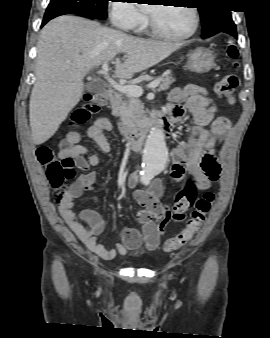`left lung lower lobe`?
Here are the masks:
<instances>
[{
  "instance_id": "left-lung-lower-lobe-1",
  "label": "left lung lower lobe",
  "mask_w": 270,
  "mask_h": 338,
  "mask_svg": "<svg viewBox=\"0 0 270 338\" xmlns=\"http://www.w3.org/2000/svg\"><path fill=\"white\" fill-rule=\"evenodd\" d=\"M224 32H226V33L234 36L235 38H237V31H236L235 24H233V25H231L229 27H226Z\"/></svg>"
}]
</instances>
